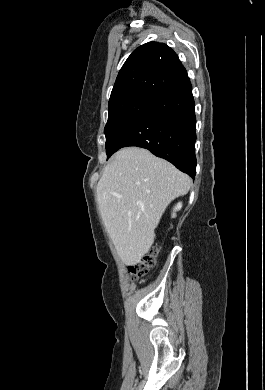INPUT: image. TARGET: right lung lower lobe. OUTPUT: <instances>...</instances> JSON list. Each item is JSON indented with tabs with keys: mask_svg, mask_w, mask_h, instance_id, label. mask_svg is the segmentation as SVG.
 Returning a JSON list of instances; mask_svg holds the SVG:
<instances>
[{
	"mask_svg": "<svg viewBox=\"0 0 265 390\" xmlns=\"http://www.w3.org/2000/svg\"><path fill=\"white\" fill-rule=\"evenodd\" d=\"M195 130V103L186 76L135 118L119 138L115 150L127 146L146 148L195 178Z\"/></svg>",
	"mask_w": 265,
	"mask_h": 390,
	"instance_id": "98d812e1",
	"label": "right lung lower lobe"
}]
</instances>
